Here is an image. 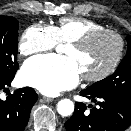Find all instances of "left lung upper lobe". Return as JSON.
Here are the masks:
<instances>
[{
    "label": "left lung upper lobe",
    "mask_w": 131,
    "mask_h": 131,
    "mask_svg": "<svg viewBox=\"0 0 131 131\" xmlns=\"http://www.w3.org/2000/svg\"><path fill=\"white\" fill-rule=\"evenodd\" d=\"M127 54L117 70L109 77L94 83L86 90L93 94H101L123 98L131 102V36H127Z\"/></svg>",
    "instance_id": "1"
}]
</instances>
